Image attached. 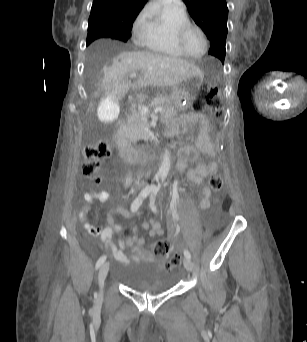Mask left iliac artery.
Listing matches in <instances>:
<instances>
[{"label": "left iliac artery", "instance_id": "left-iliac-artery-1", "mask_svg": "<svg viewBox=\"0 0 307 342\" xmlns=\"http://www.w3.org/2000/svg\"><path fill=\"white\" fill-rule=\"evenodd\" d=\"M159 191V188H157V187H153V189H152V191H151V196H150V207H151V209H152V211L153 212H157V210H156V206H155V199H156V195H157V192ZM173 196H175L174 194H173ZM174 216H176L177 217V215L174 213ZM184 256L186 257V258H191V254H190V252L188 251V250H184Z\"/></svg>", "mask_w": 307, "mask_h": 342}]
</instances>
